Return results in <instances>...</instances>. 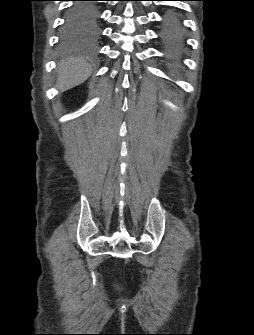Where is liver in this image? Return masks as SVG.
I'll return each mask as SVG.
<instances>
[{"label":"liver","mask_w":254,"mask_h":335,"mask_svg":"<svg viewBox=\"0 0 254 335\" xmlns=\"http://www.w3.org/2000/svg\"><path fill=\"white\" fill-rule=\"evenodd\" d=\"M91 66L84 60L69 58L60 62L58 67V88L61 91L71 89L88 79Z\"/></svg>","instance_id":"1"}]
</instances>
